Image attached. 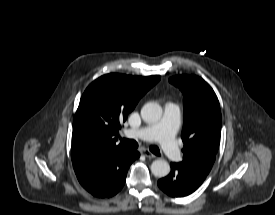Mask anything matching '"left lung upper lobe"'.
<instances>
[{"instance_id": "left-lung-upper-lobe-1", "label": "left lung upper lobe", "mask_w": 275, "mask_h": 215, "mask_svg": "<svg viewBox=\"0 0 275 215\" xmlns=\"http://www.w3.org/2000/svg\"><path fill=\"white\" fill-rule=\"evenodd\" d=\"M169 82L183 93L184 142L183 161L186 168L207 176L214 164L221 134V110L213 89L195 75H178Z\"/></svg>"}]
</instances>
